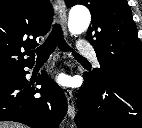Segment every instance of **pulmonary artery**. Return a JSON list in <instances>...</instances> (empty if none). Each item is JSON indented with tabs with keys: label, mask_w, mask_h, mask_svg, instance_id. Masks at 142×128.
<instances>
[{
	"label": "pulmonary artery",
	"mask_w": 142,
	"mask_h": 128,
	"mask_svg": "<svg viewBox=\"0 0 142 128\" xmlns=\"http://www.w3.org/2000/svg\"><path fill=\"white\" fill-rule=\"evenodd\" d=\"M77 48H78V52L80 54L93 58L95 63L98 64L96 53H95L93 47L89 43H87L85 41H80L77 45Z\"/></svg>",
	"instance_id": "pulmonary-artery-1"
}]
</instances>
